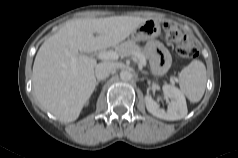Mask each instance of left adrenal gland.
<instances>
[{
  "mask_svg": "<svg viewBox=\"0 0 238 158\" xmlns=\"http://www.w3.org/2000/svg\"><path fill=\"white\" fill-rule=\"evenodd\" d=\"M142 74H148L147 72L141 71Z\"/></svg>",
  "mask_w": 238,
  "mask_h": 158,
  "instance_id": "obj_1",
  "label": "left adrenal gland"
}]
</instances>
